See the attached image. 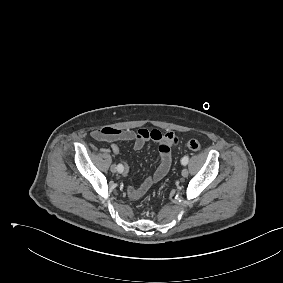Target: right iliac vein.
Segmentation results:
<instances>
[{
    "label": "right iliac vein",
    "instance_id": "63e3f726",
    "mask_svg": "<svg viewBox=\"0 0 283 283\" xmlns=\"http://www.w3.org/2000/svg\"><path fill=\"white\" fill-rule=\"evenodd\" d=\"M111 172L116 173L118 171V168L115 164L111 165L110 167Z\"/></svg>",
    "mask_w": 283,
    "mask_h": 283
}]
</instances>
